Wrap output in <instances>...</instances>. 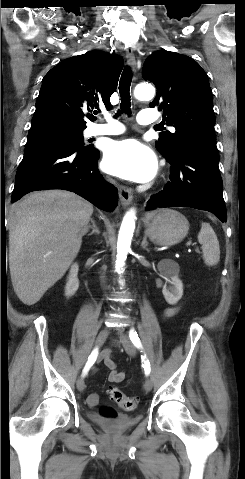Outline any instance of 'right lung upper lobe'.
I'll return each mask as SVG.
<instances>
[{"mask_svg":"<svg viewBox=\"0 0 245 479\" xmlns=\"http://www.w3.org/2000/svg\"><path fill=\"white\" fill-rule=\"evenodd\" d=\"M123 67L121 57L90 51L63 60L44 77L30 130L52 126L85 129L84 116L104 103L111 108Z\"/></svg>","mask_w":245,"mask_h":479,"instance_id":"cb5924a9","label":"right lung upper lobe"}]
</instances>
